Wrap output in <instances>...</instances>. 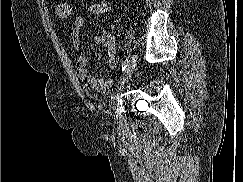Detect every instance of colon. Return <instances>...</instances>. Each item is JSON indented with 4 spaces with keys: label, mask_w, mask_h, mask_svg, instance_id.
Wrapping results in <instances>:
<instances>
[{
    "label": "colon",
    "mask_w": 243,
    "mask_h": 182,
    "mask_svg": "<svg viewBox=\"0 0 243 182\" xmlns=\"http://www.w3.org/2000/svg\"><path fill=\"white\" fill-rule=\"evenodd\" d=\"M56 14L64 19H68L73 14L72 6L69 3L61 2L55 5Z\"/></svg>",
    "instance_id": "obj_1"
}]
</instances>
